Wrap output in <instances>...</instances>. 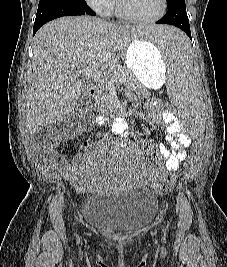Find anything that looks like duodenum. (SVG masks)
<instances>
[{
  "label": "duodenum",
  "instance_id": "duodenum-1",
  "mask_svg": "<svg viewBox=\"0 0 227 267\" xmlns=\"http://www.w3.org/2000/svg\"><path fill=\"white\" fill-rule=\"evenodd\" d=\"M96 92H97L96 86L94 84L89 85V87H88V94L90 96H93V95L96 94Z\"/></svg>",
  "mask_w": 227,
  "mask_h": 267
}]
</instances>
